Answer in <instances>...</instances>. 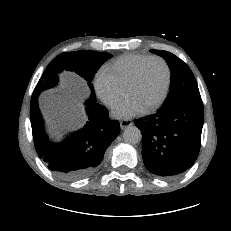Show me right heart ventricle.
Segmentation results:
<instances>
[{
	"label": "right heart ventricle",
	"mask_w": 231,
	"mask_h": 231,
	"mask_svg": "<svg viewBox=\"0 0 231 231\" xmlns=\"http://www.w3.org/2000/svg\"><path fill=\"white\" fill-rule=\"evenodd\" d=\"M150 55L140 53H129L117 57L104 66L121 88L126 89L137 67Z\"/></svg>",
	"instance_id": "1"
}]
</instances>
